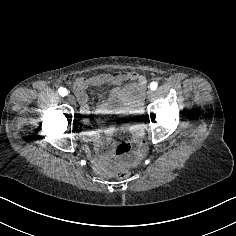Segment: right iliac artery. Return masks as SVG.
I'll use <instances>...</instances> for the list:
<instances>
[{"label":"right iliac artery","mask_w":236,"mask_h":236,"mask_svg":"<svg viewBox=\"0 0 236 236\" xmlns=\"http://www.w3.org/2000/svg\"><path fill=\"white\" fill-rule=\"evenodd\" d=\"M58 92L62 97L66 96L68 94L67 89L63 88V87H60Z\"/></svg>","instance_id":"obj_1"}]
</instances>
